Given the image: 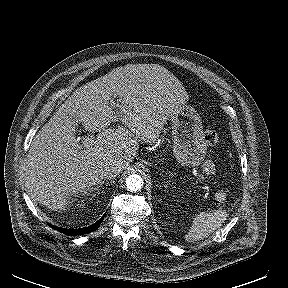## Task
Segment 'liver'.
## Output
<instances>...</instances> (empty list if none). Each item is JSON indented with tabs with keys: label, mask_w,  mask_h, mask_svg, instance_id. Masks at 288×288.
<instances>
[{
	"label": "liver",
	"mask_w": 288,
	"mask_h": 288,
	"mask_svg": "<svg viewBox=\"0 0 288 288\" xmlns=\"http://www.w3.org/2000/svg\"><path fill=\"white\" fill-rule=\"evenodd\" d=\"M186 99L182 83L158 64H127L76 89L31 143L25 166L29 195L53 211L64 210L69 196L101 183L100 165L120 162L125 170L140 142L155 143ZM71 115L98 134L80 144ZM119 120L124 126H110Z\"/></svg>",
	"instance_id": "1"
}]
</instances>
